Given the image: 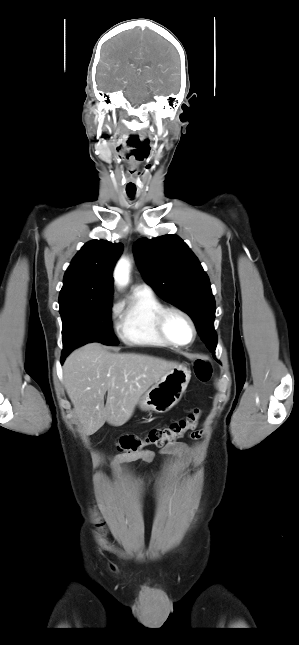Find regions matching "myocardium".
I'll return each instance as SVG.
<instances>
[{"label": "myocardium", "mask_w": 299, "mask_h": 645, "mask_svg": "<svg viewBox=\"0 0 299 645\" xmlns=\"http://www.w3.org/2000/svg\"><path fill=\"white\" fill-rule=\"evenodd\" d=\"M171 314H178V315L182 316L188 322V324L190 325L192 335H191V339L188 342H186V343L177 342L169 335V333L167 331V320H168V317ZM156 327H157V331H158L159 335L161 336V338L164 341H166L169 345H172V346H175V347L189 346L195 341L196 336H197L196 325H195L192 317L186 311H184L183 309H181L179 307H175V306L164 307L158 313L157 318H156Z\"/></svg>", "instance_id": "1"}]
</instances>
